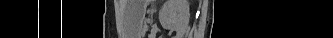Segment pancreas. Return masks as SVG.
<instances>
[{"label":"pancreas","mask_w":333,"mask_h":38,"mask_svg":"<svg viewBox=\"0 0 333 38\" xmlns=\"http://www.w3.org/2000/svg\"><path fill=\"white\" fill-rule=\"evenodd\" d=\"M146 30H147V27H146V24H145V26H144V32H146Z\"/></svg>","instance_id":"1"}]
</instances>
